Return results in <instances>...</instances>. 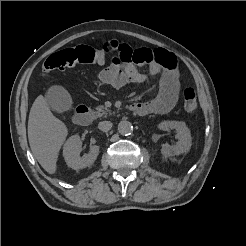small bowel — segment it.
<instances>
[{"label": "small bowel", "mask_w": 246, "mask_h": 246, "mask_svg": "<svg viewBox=\"0 0 246 246\" xmlns=\"http://www.w3.org/2000/svg\"><path fill=\"white\" fill-rule=\"evenodd\" d=\"M102 51L112 55L111 64L98 75L99 81L104 85L118 89L129 83H144L151 76L161 74L157 96L133 104L136 113L166 114L175 107L180 91V76L173 53L161 48L135 50L116 40L106 41ZM144 65L148 66L147 72L138 69V66Z\"/></svg>", "instance_id": "obj_1"}]
</instances>
